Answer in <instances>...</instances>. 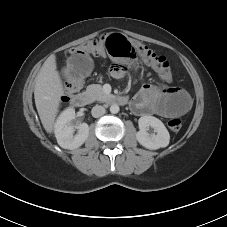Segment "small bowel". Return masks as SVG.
<instances>
[{
	"instance_id": "1",
	"label": "small bowel",
	"mask_w": 227,
	"mask_h": 227,
	"mask_svg": "<svg viewBox=\"0 0 227 227\" xmlns=\"http://www.w3.org/2000/svg\"><path fill=\"white\" fill-rule=\"evenodd\" d=\"M92 67L89 56L82 53L74 54L62 69L63 77L74 84L82 83ZM128 64L114 63L111 76L123 79ZM191 105L187 92L179 87L160 88L152 84H144L131 101L132 110L136 115L157 114L172 117L186 113Z\"/></svg>"
}]
</instances>
